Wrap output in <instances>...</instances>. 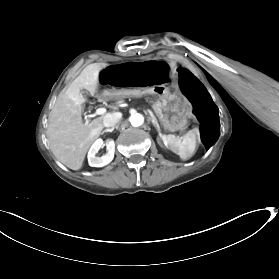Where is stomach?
<instances>
[{"label": "stomach", "instance_id": "stomach-1", "mask_svg": "<svg viewBox=\"0 0 279 279\" xmlns=\"http://www.w3.org/2000/svg\"><path fill=\"white\" fill-rule=\"evenodd\" d=\"M153 110L162 121L166 130H179L190 118V109L187 101L181 96L153 102Z\"/></svg>", "mask_w": 279, "mask_h": 279}]
</instances>
